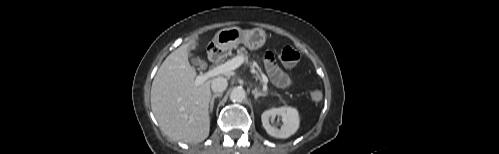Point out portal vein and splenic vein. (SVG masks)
<instances>
[{
	"label": "portal vein and splenic vein",
	"instance_id": "1",
	"mask_svg": "<svg viewBox=\"0 0 499 154\" xmlns=\"http://www.w3.org/2000/svg\"><path fill=\"white\" fill-rule=\"evenodd\" d=\"M244 58L242 56H236L232 58L231 60L225 62L224 64H221L209 71H207L204 74L198 75L195 78V84L200 85L204 82H206L208 79L215 77L220 74H226L229 73L235 69H237L241 64H243ZM254 72V70H252ZM263 82H264V90H266V85L268 82V79L265 75H263Z\"/></svg>",
	"mask_w": 499,
	"mask_h": 154
}]
</instances>
